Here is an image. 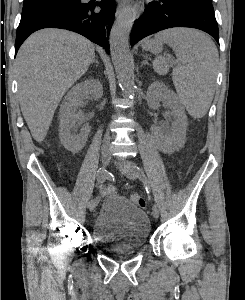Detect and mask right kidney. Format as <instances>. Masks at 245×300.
I'll list each match as a JSON object with an SVG mask.
<instances>
[{
    "instance_id": "right-kidney-1",
    "label": "right kidney",
    "mask_w": 245,
    "mask_h": 300,
    "mask_svg": "<svg viewBox=\"0 0 245 300\" xmlns=\"http://www.w3.org/2000/svg\"><path fill=\"white\" fill-rule=\"evenodd\" d=\"M103 95V88L99 80H86L76 84L63 100L59 119V137L66 149L72 152L80 151L86 144L91 127L86 124L80 130L75 125L77 109L83 105L84 100L91 96L98 100Z\"/></svg>"
}]
</instances>
